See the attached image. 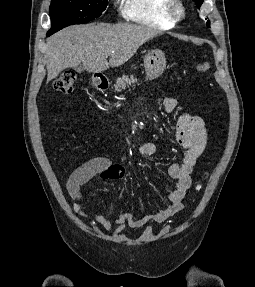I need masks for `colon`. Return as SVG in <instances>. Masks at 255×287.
<instances>
[{
	"label": "colon",
	"mask_w": 255,
	"mask_h": 287,
	"mask_svg": "<svg viewBox=\"0 0 255 287\" xmlns=\"http://www.w3.org/2000/svg\"><path fill=\"white\" fill-rule=\"evenodd\" d=\"M210 65L208 62H201L196 66V70L200 73L209 71ZM76 76L73 71H64L55 81L54 89L64 94L72 93Z\"/></svg>",
	"instance_id": "1"
}]
</instances>
